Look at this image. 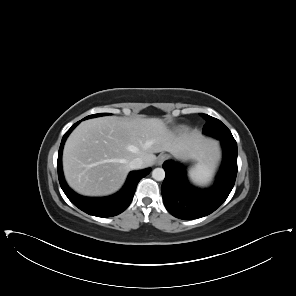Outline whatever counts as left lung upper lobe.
Here are the masks:
<instances>
[{
    "label": "left lung upper lobe",
    "mask_w": 296,
    "mask_h": 296,
    "mask_svg": "<svg viewBox=\"0 0 296 296\" xmlns=\"http://www.w3.org/2000/svg\"><path fill=\"white\" fill-rule=\"evenodd\" d=\"M207 123L203 128L205 134L222 139H234L230 130L218 119L202 114Z\"/></svg>",
    "instance_id": "1"
}]
</instances>
